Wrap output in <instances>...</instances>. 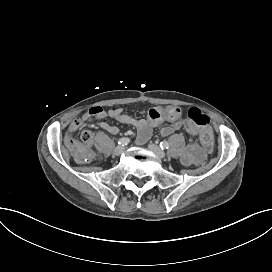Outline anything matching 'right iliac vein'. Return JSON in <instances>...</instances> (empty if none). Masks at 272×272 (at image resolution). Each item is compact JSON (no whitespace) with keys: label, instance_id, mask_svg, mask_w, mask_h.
Returning a JSON list of instances; mask_svg holds the SVG:
<instances>
[{"label":"right iliac vein","instance_id":"right-iliac-vein-1","mask_svg":"<svg viewBox=\"0 0 272 272\" xmlns=\"http://www.w3.org/2000/svg\"><path fill=\"white\" fill-rule=\"evenodd\" d=\"M124 151V147L123 146H117L114 151H113V154L116 155V156H119L123 153Z\"/></svg>","mask_w":272,"mask_h":272}]
</instances>
